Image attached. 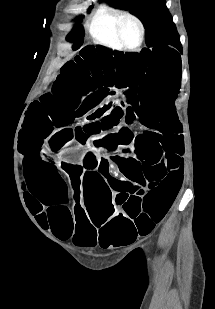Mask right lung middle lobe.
<instances>
[{"label":"right lung middle lobe","mask_w":215,"mask_h":309,"mask_svg":"<svg viewBox=\"0 0 215 309\" xmlns=\"http://www.w3.org/2000/svg\"><path fill=\"white\" fill-rule=\"evenodd\" d=\"M67 39L74 42V50L78 49L83 42V28L81 26H76Z\"/></svg>","instance_id":"dd1d6c3e"}]
</instances>
